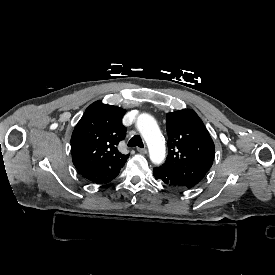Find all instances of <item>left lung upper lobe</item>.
Listing matches in <instances>:
<instances>
[{
	"instance_id": "obj_1",
	"label": "left lung upper lobe",
	"mask_w": 275,
	"mask_h": 275,
	"mask_svg": "<svg viewBox=\"0 0 275 275\" xmlns=\"http://www.w3.org/2000/svg\"><path fill=\"white\" fill-rule=\"evenodd\" d=\"M168 156L162 165L187 188L200 182L211 168L215 155L213 140L202 120L191 109L166 115Z\"/></svg>"
}]
</instances>
